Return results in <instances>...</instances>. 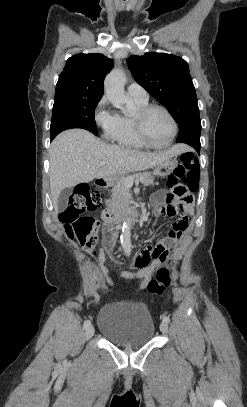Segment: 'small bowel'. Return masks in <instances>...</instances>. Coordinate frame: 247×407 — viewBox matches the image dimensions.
I'll return each instance as SVG.
<instances>
[{
	"label": "small bowel",
	"instance_id": "obj_1",
	"mask_svg": "<svg viewBox=\"0 0 247 407\" xmlns=\"http://www.w3.org/2000/svg\"><path fill=\"white\" fill-rule=\"evenodd\" d=\"M151 202L154 205L155 214L174 217L175 221L166 237L158 240L155 245H150L143 249L132 261L134 267L142 269L140 274H130L126 272L121 274L123 279L135 280L141 287L148 283L154 270L168 258L171 248L181 238L183 232L187 228V215L192 213L190 203L185 201H175L173 197L168 201H163L162 194L160 193L153 194L151 196ZM113 246L114 236L107 234L102 247L94 255L100 265V272L106 279L108 285H112L113 281L109 277L108 269L105 266V252L111 250ZM101 285L105 286L102 281Z\"/></svg>",
	"mask_w": 247,
	"mask_h": 407
}]
</instances>
